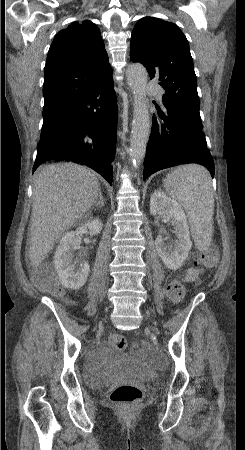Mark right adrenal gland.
Segmentation results:
<instances>
[{"label":"right adrenal gland","mask_w":245,"mask_h":450,"mask_svg":"<svg viewBox=\"0 0 245 450\" xmlns=\"http://www.w3.org/2000/svg\"><path fill=\"white\" fill-rule=\"evenodd\" d=\"M94 206L95 207L104 206V199H103V196H102L101 192L99 193L98 200L95 201Z\"/></svg>","instance_id":"2a0ac1e0"}]
</instances>
